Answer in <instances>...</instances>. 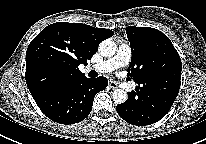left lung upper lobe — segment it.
<instances>
[{"label":"left lung upper lobe","mask_w":206,"mask_h":144,"mask_svg":"<svg viewBox=\"0 0 206 144\" xmlns=\"http://www.w3.org/2000/svg\"><path fill=\"white\" fill-rule=\"evenodd\" d=\"M126 33L132 50L127 79L132 76L147 91L168 87L179 91L182 63L170 39L150 27L129 26Z\"/></svg>","instance_id":"1"}]
</instances>
